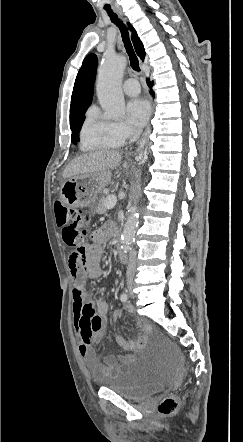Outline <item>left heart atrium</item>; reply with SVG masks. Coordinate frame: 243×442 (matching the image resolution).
I'll return each mask as SVG.
<instances>
[{"label": "left heart atrium", "instance_id": "obj_1", "mask_svg": "<svg viewBox=\"0 0 243 442\" xmlns=\"http://www.w3.org/2000/svg\"><path fill=\"white\" fill-rule=\"evenodd\" d=\"M127 115L133 126L141 128L146 124L149 118L150 105L145 99H132L127 104Z\"/></svg>", "mask_w": 243, "mask_h": 442}]
</instances>
